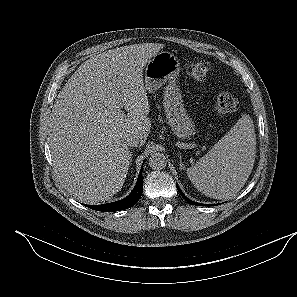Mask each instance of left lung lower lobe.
Listing matches in <instances>:
<instances>
[{
    "label": "left lung lower lobe",
    "instance_id": "left-lung-lower-lobe-1",
    "mask_svg": "<svg viewBox=\"0 0 297 297\" xmlns=\"http://www.w3.org/2000/svg\"><path fill=\"white\" fill-rule=\"evenodd\" d=\"M177 189H178V191L180 192V194H181V196L185 199V200H187L189 203H191V204H193V205H197V206H214V204H209V205H205V204H200V203H197V202H193V201H191L190 199H188L184 194H183V192L180 190V188L177 186Z\"/></svg>",
    "mask_w": 297,
    "mask_h": 297
}]
</instances>
